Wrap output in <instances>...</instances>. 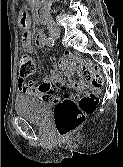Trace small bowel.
Here are the masks:
<instances>
[{
	"mask_svg": "<svg viewBox=\"0 0 123 167\" xmlns=\"http://www.w3.org/2000/svg\"><path fill=\"white\" fill-rule=\"evenodd\" d=\"M21 24L24 27V32L22 35V49L26 53H32L34 46H33V37L30 31L29 22L25 18H23L21 20ZM36 45L38 47H42L44 45V37L42 35H39L37 37ZM52 62H53L52 70L45 77L44 81L41 84L36 85L33 82L26 81L20 78L18 81L19 92L33 98L58 102L59 97L55 94L56 86H60L63 89L70 88L77 93H81L89 87L88 83L82 79L66 82L58 66L56 65L54 59H52ZM71 98H73V95L65 94V99H71Z\"/></svg>",
	"mask_w": 123,
	"mask_h": 167,
	"instance_id": "small-bowel-1",
	"label": "small bowel"
}]
</instances>
